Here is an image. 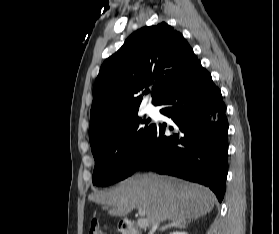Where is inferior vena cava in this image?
<instances>
[{"label":"inferior vena cava","mask_w":279,"mask_h":234,"mask_svg":"<svg viewBox=\"0 0 279 234\" xmlns=\"http://www.w3.org/2000/svg\"><path fill=\"white\" fill-rule=\"evenodd\" d=\"M159 225V222L153 224L152 229L150 230L149 234H154V232L157 230Z\"/></svg>","instance_id":"inferior-vena-cava-1"}]
</instances>
